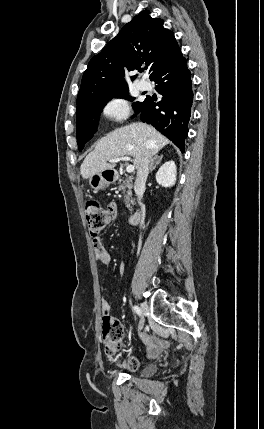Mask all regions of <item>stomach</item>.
Masks as SVG:
<instances>
[{
	"label": "stomach",
	"instance_id": "0dacf381",
	"mask_svg": "<svg viewBox=\"0 0 264 429\" xmlns=\"http://www.w3.org/2000/svg\"><path fill=\"white\" fill-rule=\"evenodd\" d=\"M117 179V172L114 169H106L96 172L89 177V185L94 191L108 187Z\"/></svg>",
	"mask_w": 264,
	"mask_h": 429
}]
</instances>
